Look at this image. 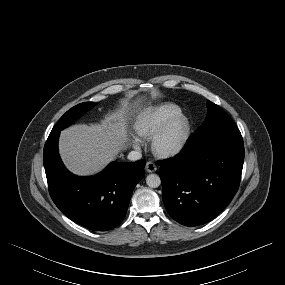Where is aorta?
<instances>
[{
  "label": "aorta",
  "instance_id": "aorta-1",
  "mask_svg": "<svg viewBox=\"0 0 285 285\" xmlns=\"http://www.w3.org/2000/svg\"><path fill=\"white\" fill-rule=\"evenodd\" d=\"M146 184L151 188H157L161 184V179L157 174H149L146 177Z\"/></svg>",
  "mask_w": 285,
  "mask_h": 285
}]
</instances>
